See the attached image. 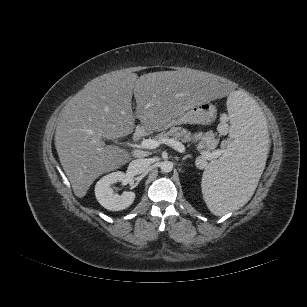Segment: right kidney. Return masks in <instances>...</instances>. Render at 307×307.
<instances>
[{
	"label": "right kidney",
	"mask_w": 307,
	"mask_h": 307,
	"mask_svg": "<svg viewBox=\"0 0 307 307\" xmlns=\"http://www.w3.org/2000/svg\"><path fill=\"white\" fill-rule=\"evenodd\" d=\"M125 173L112 172L102 177L95 185V196L98 202L110 211H121L128 208L135 200L134 192L114 194L112 185L125 180Z\"/></svg>",
	"instance_id": "1"
}]
</instances>
